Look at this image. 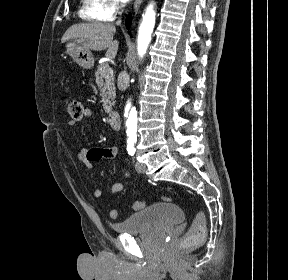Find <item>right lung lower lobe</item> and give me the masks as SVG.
<instances>
[{"mask_svg": "<svg viewBox=\"0 0 288 280\" xmlns=\"http://www.w3.org/2000/svg\"><path fill=\"white\" fill-rule=\"evenodd\" d=\"M131 15L129 14L126 18V27L129 29L130 28V25H131Z\"/></svg>", "mask_w": 288, "mask_h": 280, "instance_id": "98d812e1", "label": "right lung lower lobe"}]
</instances>
